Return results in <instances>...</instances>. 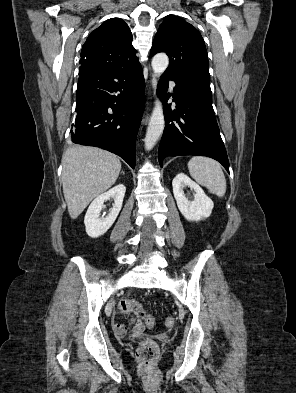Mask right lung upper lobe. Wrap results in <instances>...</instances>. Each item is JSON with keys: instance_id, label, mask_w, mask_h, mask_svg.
I'll list each match as a JSON object with an SVG mask.
<instances>
[{"instance_id": "1", "label": "right lung upper lobe", "mask_w": 296, "mask_h": 393, "mask_svg": "<svg viewBox=\"0 0 296 393\" xmlns=\"http://www.w3.org/2000/svg\"><path fill=\"white\" fill-rule=\"evenodd\" d=\"M132 33L120 18L106 20L87 38L81 50V66L122 69L139 64Z\"/></svg>"}]
</instances>
